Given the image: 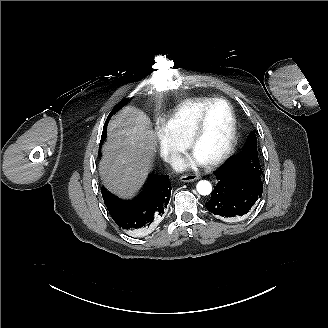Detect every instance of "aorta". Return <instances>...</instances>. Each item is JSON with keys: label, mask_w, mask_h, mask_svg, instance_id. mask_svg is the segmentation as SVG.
Segmentation results:
<instances>
[{"label": "aorta", "mask_w": 328, "mask_h": 328, "mask_svg": "<svg viewBox=\"0 0 328 328\" xmlns=\"http://www.w3.org/2000/svg\"><path fill=\"white\" fill-rule=\"evenodd\" d=\"M196 189L200 195L206 196L212 192V185L207 180H201L197 183Z\"/></svg>", "instance_id": "aorta-1"}]
</instances>
